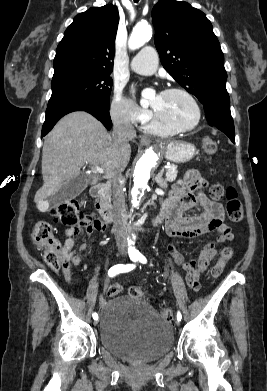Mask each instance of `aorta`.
<instances>
[{"mask_svg": "<svg viewBox=\"0 0 267 391\" xmlns=\"http://www.w3.org/2000/svg\"><path fill=\"white\" fill-rule=\"evenodd\" d=\"M151 37V26L147 23H139L134 27L129 37L128 47L130 50H136L149 41ZM143 96H146L145 92L143 93ZM157 159V153L152 149H147L136 163L133 172L132 188V204L134 207H137L140 204V200L148 187L151 170L155 166ZM131 244H133V241H131ZM131 249L135 250L133 247Z\"/></svg>", "mask_w": 267, "mask_h": 391, "instance_id": "obj_1", "label": "aorta"}]
</instances>
